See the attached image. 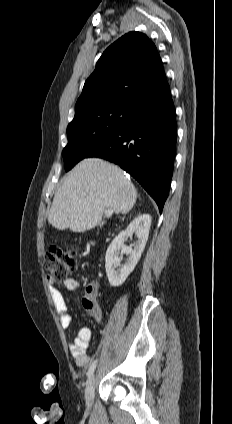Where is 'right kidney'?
Wrapping results in <instances>:
<instances>
[{
    "instance_id": "right-kidney-1",
    "label": "right kidney",
    "mask_w": 232,
    "mask_h": 424,
    "mask_svg": "<svg viewBox=\"0 0 232 424\" xmlns=\"http://www.w3.org/2000/svg\"><path fill=\"white\" fill-rule=\"evenodd\" d=\"M151 220L149 214L139 215L109 245L105 256V269L111 286L118 287L122 285L134 270L147 243ZM134 233L137 235V240L132 245L133 248L132 246H126L125 241ZM122 254L128 255V258L125 264L118 268Z\"/></svg>"
}]
</instances>
